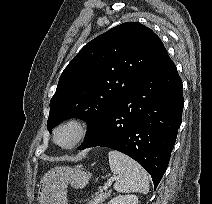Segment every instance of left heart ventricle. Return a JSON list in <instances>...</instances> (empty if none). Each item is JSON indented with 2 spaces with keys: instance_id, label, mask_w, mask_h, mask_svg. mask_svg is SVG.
Masks as SVG:
<instances>
[{
  "instance_id": "b2bd125f",
  "label": "left heart ventricle",
  "mask_w": 212,
  "mask_h": 204,
  "mask_svg": "<svg viewBox=\"0 0 212 204\" xmlns=\"http://www.w3.org/2000/svg\"><path fill=\"white\" fill-rule=\"evenodd\" d=\"M74 138V131L72 129H64L58 134V141L62 144H68Z\"/></svg>"
}]
</instances>
